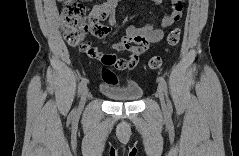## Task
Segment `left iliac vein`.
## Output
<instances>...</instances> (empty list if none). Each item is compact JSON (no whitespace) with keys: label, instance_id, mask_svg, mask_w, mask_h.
Returning a JSON list of instances; mask_svg holds the SVG:
<instances>
[{"label":"left iliac vein","instance_id":"4c4485c4","mask_svg":"<svg viewBox=\"0 0 239 156\" xmlns=\"http://www.w3.org/2000/svg\"><path fill=\"white\" fill-rule=\"evenodd\" d=\"M157 96H158V98H159V100H160V103H161L162 108H163V109H166L164 94H163V91H162V89H161L160 86H159V88H158Z\"/></svg>","mask_w":239,"mask_h":156}]
</instances>
